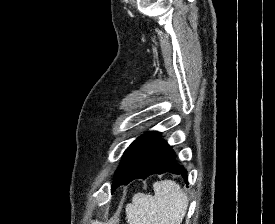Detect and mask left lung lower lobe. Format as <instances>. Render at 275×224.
<instances>
[{
    "mask_svg": "<svg viewBox=\"0 0 275 224\" xmlns=\"http://www.w3.org/2000/svg\"><path fill=\"white\" fill-rule=\"evenodd\" d=\"M160 133L154 132L141 148L128 171L119 179L113 181V192L118 186L128 184L134 179H146L151 174L170 172L179 174L188 184L187 171L179 166L175 154L167 142L159 139Z\"/></svg>",
    "mask_w": 275,
    "mask_h": 224,
    "instance_id": "1",
    "label": "left lung lower lobe"
}]
</instances>
